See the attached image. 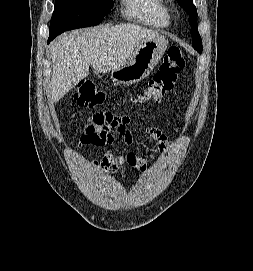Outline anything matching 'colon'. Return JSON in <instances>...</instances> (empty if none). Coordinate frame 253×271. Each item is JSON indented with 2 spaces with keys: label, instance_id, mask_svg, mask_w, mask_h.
Wrapping results in <instances>:
<instances>
[{
  "label": "colon",
  "instance_id": "1",
  "mask_svg": "<svg viewBox=\"0 0 253 271\" xmlns=\"http://www.w3.org/2000/svg\"><path fill=\"white\" fill-rule=\"evenodd\" d=\"M184 67L185 59L181 50L176 46L170 47L163 63L150 80L147 88L135 95L134 99L141 103H159L173 90L174 84ZM75 99L82 106L97 107L105 102L106 95L96 90L91 81H83L78 87Z\"/></svg>",
  "mask_w": 253,
  "mask_h": 271
}]
</instances>
